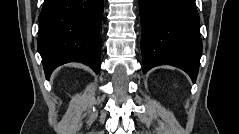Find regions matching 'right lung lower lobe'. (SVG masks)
Wrapping results in <instances>:
<instances>
[{"mask_svg": "<svg viewBox=\"0 0 239 134\" xmlns=\"http://www.w3.org/2000/svg\"><path fill=\"white\" fill-rule=\"evenodd\" d=\"M103 0H45L39 15L38 52L46 78L78 61L100 71Z\"/></svg>", "mask_w": 239, "mask_h": 134, "instance_id": "98d812e1", "label": "right lung lower lobe"}]
</instances>
